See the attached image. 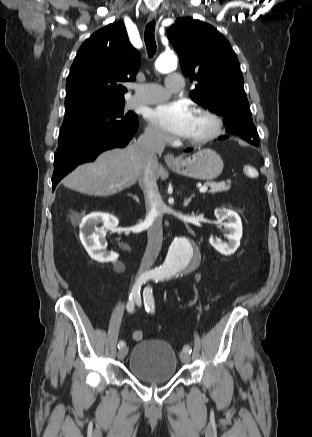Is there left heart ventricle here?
Returning <instances> with one entry per match:
<instances>
[{
  "label": "left heart ventricle",
  "instance_id": "obj_1",
  "mask_svg": "<svg viewBox=\"0 0 312 437\" xmlns=\"http://www.w3.org/2000/svg\"><path fill=\"white\" fill-rule=\"evenodd\" d=\"M209 128H210L209 121L194 113L193 119H192V124H191V129H190L189 133L186 135V137H184V138L185 139H192V138L198 137V136L206 133L209 130Z\"/></svg>",
  "mask_w": 312,
  "mask_h": 437
}]
</instances>
